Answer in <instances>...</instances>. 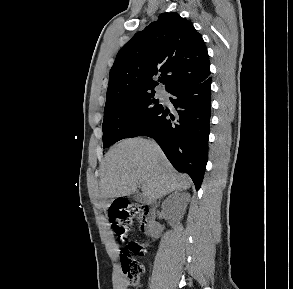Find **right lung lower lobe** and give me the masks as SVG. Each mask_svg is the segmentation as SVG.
<instances>
[{
  "label": "right lung lower lobe",
  "instance_id": "obj_1",
  "mask_svg": "<svg viewBox=\"0 0 293 289\" xmlns=\"http://www.w3.org/2000/svg\"><path fill=\"white\" fill-rule=\"evenodd\" d=\"M170 94L174 96L170 101L176 110L160 107L129 138H154L171 164L187 173L198 190L208 159L211 78L181 86Z\"/></svg>",
  "mask_w": 293,
  "mask_h": 289
}]
</instances>
